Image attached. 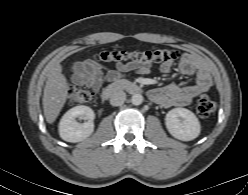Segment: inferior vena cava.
<instances>
[{"instance_id":"obj_1","label":"inferior vena cava","mask_w":248,"mask_h":195,"mask_svg":"<svg viewBox=\"0 0 248 195\" xmlns=\"http://www.w3.org/2000/svg\"><path fill=\"white\" fill-rule=\"evenodd\" d=\"M126 100V94L122 90H117L112 93L110 98V104L112 106H120L122 105Z\"/></svg>"}]
</instances>
